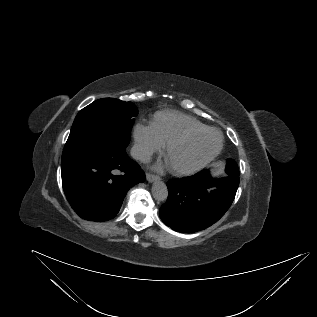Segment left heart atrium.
<instances>
[{
  "label": "left heart atrium",
  "instance_id": "obj_1",
  "mask_svg": "<svg viewBox=\"0 0 317 317\" xmlns=\"http://www.w3.org/2000/svg\"><path fill=\"white\" fill-rule=\"evenodd\" d=\"M167 166H168L167 162H166V163L159 162V163L157 164V167H158L159 169H162V168L167 167Z\"/></svg>",
  "mask_w": 317,
  "mask_h": 317
}]
</instances>
